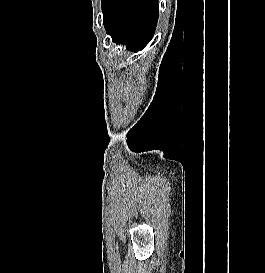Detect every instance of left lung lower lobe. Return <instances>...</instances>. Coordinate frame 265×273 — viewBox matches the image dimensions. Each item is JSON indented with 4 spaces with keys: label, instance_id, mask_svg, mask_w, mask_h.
Instances as JSON below:
<instances>
[{
    "label": "left lung lower lobe",
    "instance_id": "0a47b994",
    "mask_svg": "<svg viewBox=\"0 0 265 273\" xmlns=\"http://www.w3.org/2000/svg\"><path fill=\"white\" fill-rule=\"evenodd\" d=\"M104 26L115 43L142 50L152 39L158 21V0H102Z\"/></svg>",
    "mask_w": 265,
    "mask_h": 273
}]
</instances>
